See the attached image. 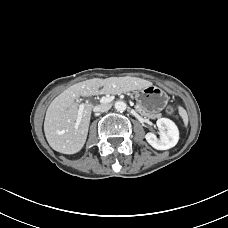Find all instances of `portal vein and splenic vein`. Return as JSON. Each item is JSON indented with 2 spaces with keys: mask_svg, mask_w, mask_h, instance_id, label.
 Returning <instances> with one entry per match:
<instances>
[{
  "mask_svg": "<svg viewBox=\"0 0 228 228\" xmlns=\"http://www.w3.org/2000/svg\"><path fill=\"white\" fill-rule=\"evenodd\" d=\"M114 99L113 96H106V97H102L100 99L101 103H109ZM83 110H84V103H81L79 106V110H78V116H77V120H76V124L78 125L82 119V114H83Z\"/></svg>",
  "mask_w": 228,
  "mask_h": 228,
  "instance_id": "1",
  "label": "portal vein and splenic vein"
}]
</instances>
